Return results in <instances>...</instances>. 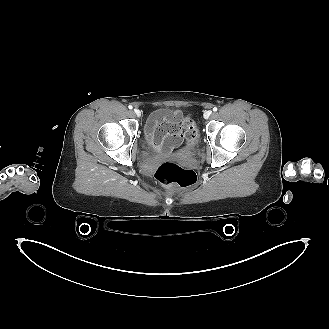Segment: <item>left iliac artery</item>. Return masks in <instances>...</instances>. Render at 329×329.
Returning <instances> with one entry per match:
<instances>
[{
	"label": "left iliac artery",
	"instance_id": "obj_1",
	"mask_svg": "<svg viewBox=\"0 0 329 329\" xmlns=\"http://www.w3.org/2000/svg\"><path fill=\"white\" fill-rule=\"evenodd\" d=\"M213 111L216 112V111H217V107H214V108H213Z\"/></svg>",
	"mask_w": 329,
	"mask_h": 329
}]
</instances>
